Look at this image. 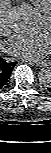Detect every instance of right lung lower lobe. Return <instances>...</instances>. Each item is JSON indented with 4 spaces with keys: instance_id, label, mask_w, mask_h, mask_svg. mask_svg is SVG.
<instances>
[{
    "instance_id": "right-lung-lower-lobe-1",
    "label": "right lung lower lobe",
    "mask_w": 51,
    "mask_h": 153,
    "mask_svg": "<svg viewBox=\"0 0 51 153\" xmlns=\"http://www.w3.org/2000/svg\"><path fill=\"white\" fill-rule=\"evenodd\" d=\"M17 62H6L0 57V89L8 82Z\"/></svg>"
}]
</instances>
